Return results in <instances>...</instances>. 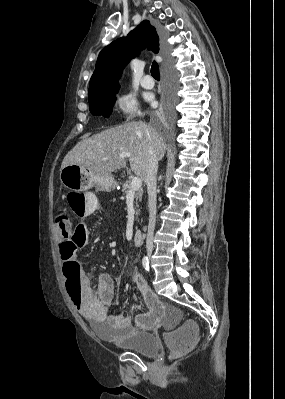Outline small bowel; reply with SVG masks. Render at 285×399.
Here are the masks:
<instances>
[{
	"label": "small bowel",
	"mask_w": 285,
	"mask_h": 399,
	"mask_svg": "<svg viewBox=\"0 0 285 399\" xmlns=\"http://www.w3.org/2000/svg\"><path fill=\"white\" fill-rule=\"evenodd\" d=\"M86 196L87 202L83 214L94 215L98 213L101 210L98 198L93 193H86ZM57 233L62 238L68 234V229L57 226ZM64 277L69 299L78 308L80 314L90 322L106 324L120 335H127L139 329L152 330L162 326V321L166 316V306L153 293L145 276L139 270H134L131 277L145 301L147 311L137 314L133 322L128 316H117L110 313L109 308L113 304L114 290L109 278L98 275L97 289L94 291L80 262H75V269L71 272V280L79 286V300L76 303L67 290V283L70 278L66 277L65 274Z\"/></svg>",
	"instance_id": "1"
}]
</instances>
